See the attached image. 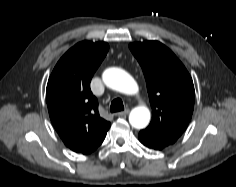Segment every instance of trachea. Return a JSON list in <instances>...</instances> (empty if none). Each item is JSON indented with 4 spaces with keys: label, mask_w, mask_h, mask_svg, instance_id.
<instances>
[{
    "label": "trachea",
    "mask_w": 236,
    "mask_h": 187,
    "mask_svg": "<svg viewBox=\"0 0 236 187\" xmlns=\"http://www.w3.org/2000/svg\"><path fill=\"white\" fill-rule=\"evenodd\" d=\"M124 110L123 102L120 98H116L112 101L110 106V111L113 112H119Z\"/></svg>",
    "instance_id": "3493384b"
}]
</instances>
